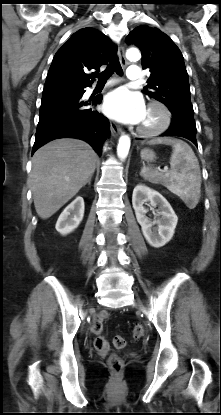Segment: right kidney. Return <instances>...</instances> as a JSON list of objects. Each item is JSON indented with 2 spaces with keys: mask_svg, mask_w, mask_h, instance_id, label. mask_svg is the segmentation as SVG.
Wrapping results in <instances>:
<instances>
[{
  "mask_svg": "<svg viewBox=\"0 0 221 415\" xmlns=\"http://www.w3.org/2000/svg\"><path fill=\"white\" fill-rule=\"evenodd\" d=\"M83 216L84 200L79 196L63 210L55 228L62 235L69 234L79 226Z\"/></svg>",
  "mask_w": 221,
  "mask_h": 415,
  "instance_id": "right-kidney-1",
  "label": "right kidney"
}]
</instances>
